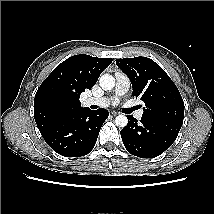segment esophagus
I'll return each instance as SVG.
<instances>
[{"instance_id": "esophagus-1", "label": "esophagus", "mask_w": 214, "mask_h": 214, "mask_svg": "<svg viewBox=\"0 0 214 214\" xmlns=\"http://www.w3.org/2000/svg\"><path fill=\"white\" fill-rule=\"evenodd\" d=\"M111 114H113V115H118L119 113L116 112V111H112Z\"/></svg>"}]
</instances>
